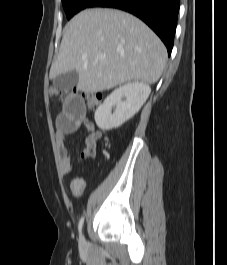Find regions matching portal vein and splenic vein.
Segmentation results:
<instances>
[{
	"mask_svg": "<svg viewBox=\"0 0 227 265\" xmlns=\"http://www.w3.org/2000/svg\"><path fill=\"white\" fill-rule=\"evenodd\" d=\"M105 57H106L105 54H99V55H98V58H99V59H105Z\"/></svg>",
	"mask_w": 227,
	"mask_h": 265,
	"instance_id": "1",
	"label": "portal vein and splenic vein"
}]
</instances>
